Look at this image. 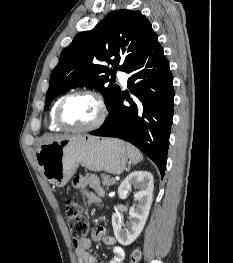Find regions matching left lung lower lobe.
Listing matches in <instances>:
<instances>
[{
	"instance_id": "left-lung-lower-lobe-1",
	"label": "left lung lower lobe",
	"mask_w": 233,
	"mask_h": 263,
	"mask_svg": "<svg viewBox=\"0 0 233 263\" xmlns=\"http://www.w3.org/2000/svg\"><path fill=\"white\" fill-rule=\"evenodd\" d=\"M134 99L120 95L104 124L91 135L116 137L142 150L164 176L173 118V77L163 48L154 38L126 70Z\"/></svg>"
}]
</instances>
